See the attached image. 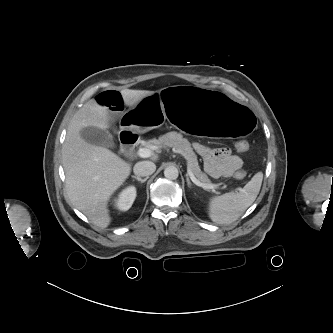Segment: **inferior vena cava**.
<instances>
[{"label":"inferior vena cava","instance_id":"1","mask_svg":"<svg viewBox=\"0 0 333 333\" xmlns=\"http://www.w3.org/2000/svg\"><path fill=\"white\" fill-rule=\"evenodd\" d=\"M156 170V165L151 161H142L135 164L133 171L137 176H149Z\"/></svg>","mask_w":333,"mask_h":333}]
</instances>
